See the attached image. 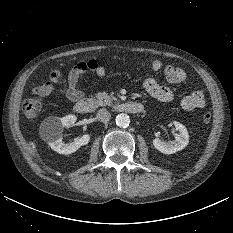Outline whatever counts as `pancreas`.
Returning a JSON list of instances; mask_svg holds the SVG:
<instances>
[{
  "mask_svg": "<svg viewBox=\"0 0 233 233\" xmlns=\"http://www.w3.org/2000/svg\"><path fill=\"white\" fill-rule=\"evenodd\" d=\"M99 105H111L113 102H117V98L112 95H108L106 92H99L96 95Z\"/></svg>",
  "mask_w": 233,
  "mask_h": 233,
  "instance_id": "cf45deb5",
  "label": "pancreas"
}]
</instances>
